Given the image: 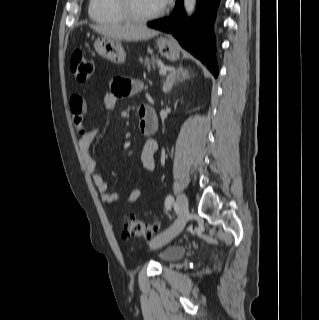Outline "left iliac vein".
<instances>
[{
    "label": "left iliac vein",
    "instance_id": "1",
    "mask_svg": "<svg viewBox=\"0 0 319 320\" xmlns=\"http://www.w3.org/2000/svg\"><path fill=\"white\" fill-rule=\"evenodd\" d=\"M176 210L178 217L173 225L168 228L162 235L157 236L152 242L153 247H160L170 242L174 237H176L185 227L188 217V200L184 194H179L176 200Z\"/></svg>",
    "mask_w": 319,
    "mask_h": 320
}]
</instances>
